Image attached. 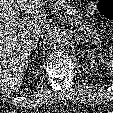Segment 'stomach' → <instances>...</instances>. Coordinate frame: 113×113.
<instances>
[{
	"instance_id": "0dacf381",
	"label": "stomach",
	"mask_w": 113,
	"mask_h": 113,
	"mask_svg": "<svg viewBox=\"0 0 113 113\" xmlns=\"http://www.w3.org/2000/svg\"><path fill=\"white\" fill-rule=\"evenodd\" d=\"M61 1H63L64 3H67V2L70 1V0H61Z\"/></svg>"
}]
</instances>
